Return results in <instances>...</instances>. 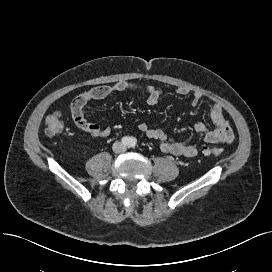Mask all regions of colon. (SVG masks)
Instances as JSON below:
<instances>
[{
    "mask_svg": "<svg viewBox=\"0 0 272 272\" xmlns=\"http://www.w3.org/2000/svg\"><path fill=\"white\" fill-rule=\"evenodd\" d=\"M63 123H62V114L59 111H56L45 119V133L48 136H56L62 133L63 131ZM202 153L204 155H212L219 156L221 154V150L215 147H203Z\"/></svg>",
    "mask_w": 272,
    "mask_h": 272,
    "instance_id": "1",
    "label": "colon"
}]
</instances>
